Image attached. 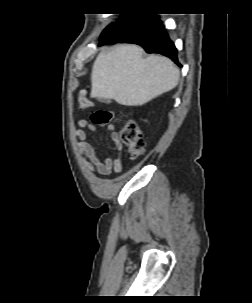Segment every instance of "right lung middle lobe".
<instances>
[{
    "mask_svg": "<svg viewBox=\"0 0 252 303\" xmlns=\"http://www.w3.org/2000/svg\"><path fill=\"white\" fill-rule=\"evenodd\" d=\"M123 16H124V14H122V15L120 16V18H122ZM116 23H117V22H116ZM116 23H113V24L109 25V26L102 32L101 37H102L103 35H105L108 31H110V30L115 26Z\"/></svg>",
    "mask_w": 252,
    "mask_h": 303,
    "instance_id": "obj_1",
    "label": "right lung middle lobe"
}]
</instances>
